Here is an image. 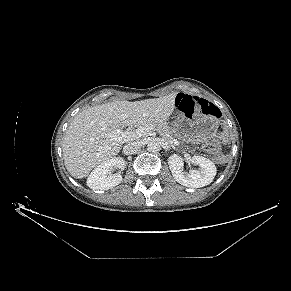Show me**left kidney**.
<instances>
[{"label": "left kidney", "mask_w": 291, "mask_h": 291, "mask_svg": "<svg viewBox=\"0 0 291 291\" xmlns=\"http://www.w3.org/2000/svg\"><path fill=\"white\" fill-rule=\"evenodd\" d=\"M190 162L198 165L199 170L184 171L183 158L177 154H172L168 158V165L175 180L189 188H200L209 185L217 173L215 164L205 157L196 155L190 159Z\"/></svg>", "instance_id": "1"}]
</instances>
